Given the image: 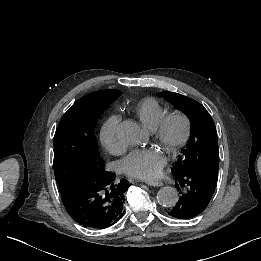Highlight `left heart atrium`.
Wrapping results in <instances>:
<instances>
[{
    "label": "left heart atrium",
    "mask_w": 261,
    "mask_h": 261,
    "mask_svg": "<svg viewBox=\"0 0 261 261\" xmlns=\"http://www.w3.org/2000/svg\"><path fill=\"white\" fill-rule=\"evenodd\" d=\"M165 155L154 147L135 149L120 162V170L132 177L153 180L158 178L166 166Z\"/></svg>",
    "instance_id": "1"
}]
</instances>
